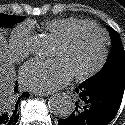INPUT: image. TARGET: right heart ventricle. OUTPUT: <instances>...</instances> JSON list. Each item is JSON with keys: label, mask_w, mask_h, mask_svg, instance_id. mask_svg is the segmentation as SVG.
<instances>
[{"label": "right heart ventricle", "mask_w": 125, "mask_h": 125, "mask_svg": "<svg viewBox=\"0 0 125 125\" xmlns=\"http://www.w3.org/2000/svg\"><path fill=\"white\" fill-rule=\"evenodd\" d=\"M82 21H85V20H82L76 17L55 18L44 22L42 24V28L46 34L51 35L52 37L57 39L71 26L78 24Z\"/></svg>", "instance_id": "1"}]
</instances>
